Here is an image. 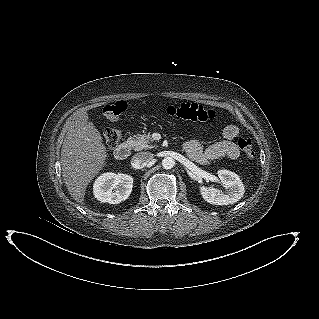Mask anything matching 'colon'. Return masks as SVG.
Instances as JSON below:
<instances>
[{
    "instance_id": "colon-1",
    "label": "colon",
    "mask_w": 319,
    "mask_h": 319,
    "mask_svg": "<svg viewBox=\"0 0 319 319\" xmlns=\"http://www.w3.org/2000/svg\"><path fill=\"white\" fill-rule=\"evenodd\" d=\"M127 103L125 101H117L107 104L103 107L102 113L108 120H115L120 117L126 110ZM170 117L178 118L191 122H205L213 120L217 117L215 110L204 107L197 103H181L178 105H170L165 110ZM122 133L119 129L107 128L103 132L104 143L108 147H114L121 140ZM238 147L243 154L252 158L255 155L252 141L249 138H241L238 141Z\"/></svg>"
}]
</instances>
